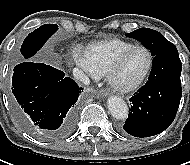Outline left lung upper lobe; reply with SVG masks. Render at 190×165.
<instances>
[{
	"label": "left lung upper lobe",
	"mask_w": 190,
	"mask_h": 165,
	"mask_svg": "<svg viewBox=\"0 0 190 165\" xmlns=\"http://www.w3.org/2000/svg\"><path fill=\"white\" fill-rule=\"evenodd\" d=\"M126 36L140 41L147 49L151 50L152 56L174 47V44L169 42L162 34L149 28L137 29L131 33H127Z\"/></svg>",
	"instance_id": "1"
}]
</instances>
